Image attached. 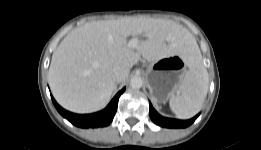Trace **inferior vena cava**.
<instances>
[{
	"label": "inferior vena cava",
	"mask_w": 261,
	"mask_h": 150,
	"mask_svg": "<svg viewBox=\"0 0 261 150\" xmlns=\"http://www.w3.org/2000/svg\"><path fill=\"white\" fill-rule=\"evenodd\" d=\"M130 69L125 66H115L112 70V78L119 83L124 81L129 75Z\"/></svg>",
	"instance_id": "obj_1"
}]
</instances>
